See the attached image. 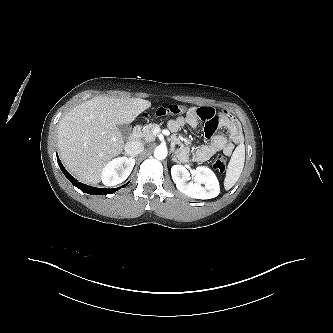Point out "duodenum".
<instances>
[{
    "label": "duodenum",
    "mask_w": 333,
    "mask_h": 333,
    "mask_svg": "<svg viewBox=\"0 0 333 333\" xmlns=\"http://www.w3.org/2000/svg\"><path fill=\"white\" fill-rule=\"evenodd\" d=\"M141 130H142V126L136 125L130 134V139L136 140L140 136Z\"/></svg>",
    "instance_id": "410a0bca"
}]
</instances>
